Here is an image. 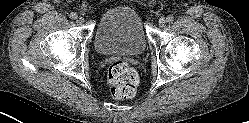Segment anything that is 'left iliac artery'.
Instances as JSON below:
<instances>
[{"mask_svg":"<svg viewBox=\"0 0 249 123\" xmlns=\"http://www.w3.org/2000/svg\"><path fill=\"white\" fill-rule=\"evenodd\" d=\"M173 16L172 15H168L167 16V18H166V21L168 22V23H172L173 22Z\"/></svg>","mask_w":249,"mask_h":123,"instance_id":"44dca946","label":"left iliac artery"}]
</instances>
